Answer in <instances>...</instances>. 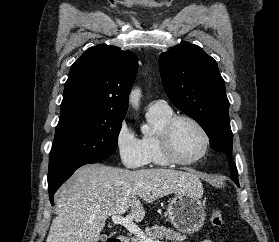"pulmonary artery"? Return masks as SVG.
Segmentation results:
<instances>
[{
	"label": "pulmonary artery",
	"instance_id": "obj_1",
	"mask_svg": "<svg viewBox=\"0 0 279 242\" xmlns=\"http://www.w3.org/2000/svg\"><path fill=\"white\" fill-rule=\"evenodd\" d=\"M157 106V107H167V104L163 100H154L150 103V107Z\"/></svg>",
	"mask_w": 279,
	"mask_h": 242
}]
</instances>
